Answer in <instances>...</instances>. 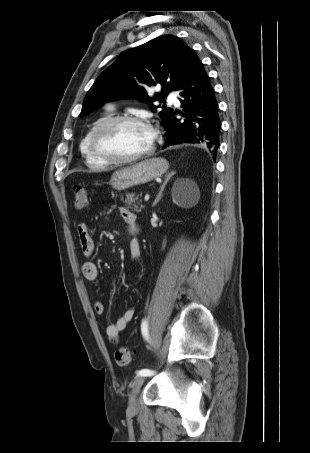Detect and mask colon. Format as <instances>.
I'll return each mask as SVG.
<instances>
[{"label":"colon","instance_id":"1","mask_svg":"<svg viewBox=\"0 0 310 453\" xmlns=\"http://www.w3.org/2000/svg\"><path fill=\"white\" fill-rule=\"evenodd\" d=\"M75 206L83 209L88 205V194L85 187L77 185L74 187ZM132 352L129 348L123 347L115 352V361L121 367H126L131 363Z\"/></svg>","mask_w":310,"mask_h":453}]
</instances>
